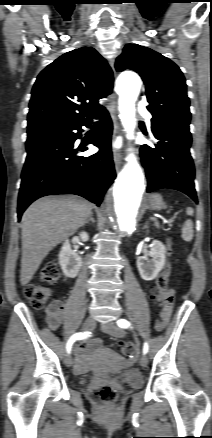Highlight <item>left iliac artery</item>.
<instances>
[{
  "mask_svg": "<svg viewBox=\"0 0 212 438\" xmlns=\"http://www.w3.org/2000/svg\"><path fill=\"white\" fill-rule=\"evenodd\" d=\"M117 325H118L119 327H121V328L126 329V328H129V327H130V322H128V321L125 320V319H120V320L117 321ZM148 350H149L148 343L145 342V343H144V346H143V354H146V353L148 352Z\"/></svg>",
  "mask_w": 212,
  "mask_h": 438,
  "instance_id": "obj_1",
  "label": "left iliac artery"
}]
</instances>
